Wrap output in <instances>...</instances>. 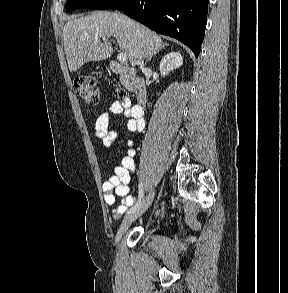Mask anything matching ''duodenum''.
Here are the masks:
<instances>
[{
	"mask_svg": "<svg viewBox=\"0 0 288 293\" xmlns=\"http://www.w3.org/2000/svg\"><path fill=\"white\" fill-rule=\"evenodd\" d=\"M110 68L112 72L119 75L121 82L135 94L138 105L140 107L144 106L147 101V87L145 81L137 77L132 68L117 61H112L110 63Z\"/></svg>",
	"mask_w": 288,
	"mask_h": 293,
	"instance_id": "obj_1",
	"label": "duodenum"
}]
</instances>
